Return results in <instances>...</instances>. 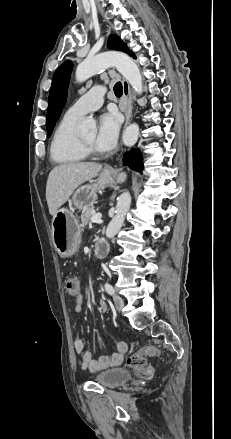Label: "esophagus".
Listing matches in <instances>:
<instances>
[{"label":"esophagus","mask_w":231,"mask_h":439,"mask_svg":"<svg viewBox=\"0 0 231 439\" xmlns=\"http://www.w3.org/2000/svg\"><path fill=\"white\" fill-rule=\"evenodd\" d=\"M122 85H123V97L125 99L126 102V110H125V116H126V121H125V126H127V124L129 123L131 116H132V93H131V89L129 86V83L127 82V80L125 78L122 79ZM108 171H112L113 168L112 167H108L107 168Z\"/></svg>","instance_id":"obj_1"}]
</instances>
